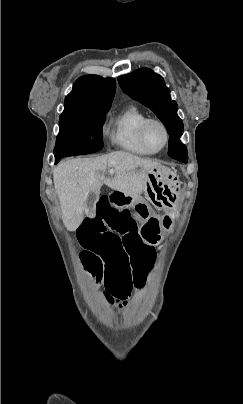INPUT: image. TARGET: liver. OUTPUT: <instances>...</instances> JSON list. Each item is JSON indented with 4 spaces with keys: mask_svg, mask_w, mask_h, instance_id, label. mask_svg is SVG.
<instances>
[{
    "mask_svg": "<svg viewBox=\"0 0 243 404\" xmlns=\"http://www.w3.org/2000/svg\"><path fill=\"white\" fill-rule=\"evenodd\" d=\"M160 166L150 158H138L129 152H111L98 158H78L60 162L53 172L54 188L62 208V220L69 232H75L84 220L86 200L106 184L125 196H140L150 168ZM114 170V178H105Z\"/></svg>",
    "mask_w": 243,
    "mask_h": 404,
    "instance_id": "liver-1",
    "label": "liver"
}]
</instances>
